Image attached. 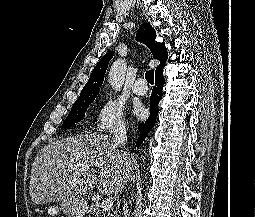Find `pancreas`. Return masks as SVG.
Listing matches in <instances>:
<instances>
[{"label":"pancreas","instance_id":"pancreas-1","mask_svg":"<svg viewBox=\"0 0 255 217\" xmlns=\"http://www.w3.org/2000/svg\"><path fill=\"white\" fill-rule=\"evenodd\" d=\"M88 216L87 217H119L117 214V211L112 209V211H109L107 214H105L101 209H100V204L99 203H94L91 204L88 211Z\"/></svg>","mask_w":255,"mask_h":217}]
</instances>
